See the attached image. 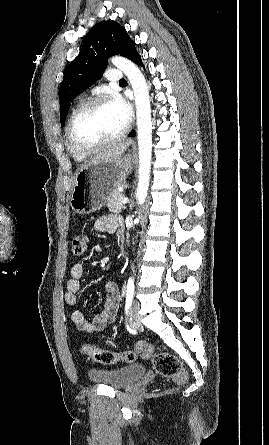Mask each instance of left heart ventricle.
Masks as SVG:
<instances>
[{"label":"left heart ventricle","instance_id":"obj_1","mask_svg":"<svg viewBox=\"0 0 269 445\" xmlns=\"http://www.w3.org/2000/svg\"><path fill=\"white\" fill-rule=\"evenodd\" d=\"M126 124L110 102L82 115L74 125L73 138L83 146H93L119 134Z\"/></svg>","mask_w":269,"mask_h":445}]
</instances>
